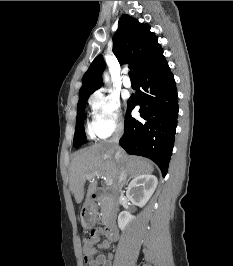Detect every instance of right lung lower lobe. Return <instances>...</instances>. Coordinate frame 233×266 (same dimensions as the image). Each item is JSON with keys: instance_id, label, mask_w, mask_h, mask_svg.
<instances>
[{"instance_id": "obj_1", "label": "right lung lower lobe", "mask_w": 233, "mask_h": 266, "mask_svg": "<svg viewBox=\"0 0 233 266\" xmlns=\"http://www.w3.org/2000/svg\"><path fill=\"white\" fill-rule=\"evenodd\" d=\"M138 87L128 100L122 148L131 155L153 160L167 174L178 117V96L174 76L162 55L137 74ZM140 105L141 119L131 117Z\"/></svg>"}]
</instances>
